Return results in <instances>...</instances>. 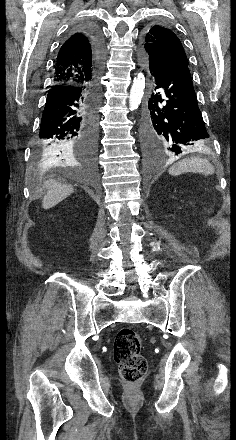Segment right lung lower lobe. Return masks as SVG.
Returning <instances> with one entry per match:
<instances>
[{
  "instance_id": "obj_1",
  "label": "right lung lower lobe",
  "mask_w": 236,
  "mask_h": 440,
  "mask_svg": "<svg viewBox=\"0 0 236 440\" xmlns=\"http://www.w3.org/2000/svg\"><path fill=\"white\" fill-rule=\"evenodd\" d=\"M88 37L93 57L95 78L85 86L58 85L48 91L42 115L37 152L48 160H62L68 164L76 160L93 167L97 153V109L100 101V76L105 58L103 37L93 25L78 28ZM75 143L74 156L69 146Z\"/></svg>"
}]
</instances>
